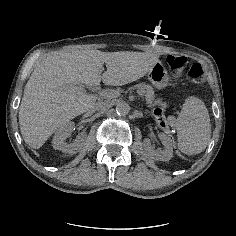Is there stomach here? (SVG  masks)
<instances>
[{"instance_id": "stomach-1", "label": "stomach", "mask_w": 236, "mask_h": 236, "mask_svg": "<svg viewBox=\"0 0 236 236\" xmlns=\"http://www.w3.org/2000/svg\"><path fill=\"white\" fill-rule=\"evenodd\" d=\"M150 82L158 89H162L168 84V73L162 64L157 63L148 75Z\"/></svg>"}]
</instances>
